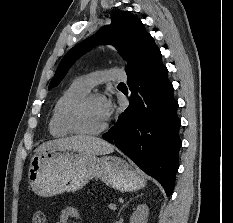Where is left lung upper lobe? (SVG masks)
<instances>
[{"instance_id":"1","label":"left lung upper lobe","mask_w":233,"mask_h":223,"mask_svg":"<svg viewBox=\"0 0 233 223\" xmlns=\"http://www.w3.org/2000/svg\"><path fill=\"white\" fill-rule=\"evenodd\" d=\"M153 38L146 32L141 20L128 11H120L112 16L110 25L71 50L61 60L49 89L57 86L69 68L95 44H112L127 61L126 73L130 72L140 61L146 49L153 43Z\"/></svg>"}]
</instances>
